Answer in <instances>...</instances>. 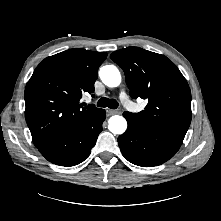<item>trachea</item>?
<instances>
[{
	"mask_svg": "<svg viewBox=\"0 0 221 221\" xmlns=\"http://www.w3.org/2000/svg\"><path fill=\"white\" fill-rule=\"evenodd\" d=\"M97 106L98 107H108L111 109H117L118 102L115 99H109L106 97H102L101 99L98 100Z\"/></svg>",
	"mask_w": 221,
	"mask_h": 221,
	"instance_id": "1",
	"label": "trachea"
}]
</instances>
